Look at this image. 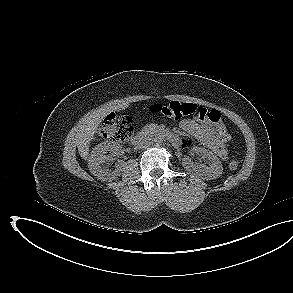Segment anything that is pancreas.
I'll use <instances>...</instances> for the list:
<instances>
[{"instance_id":"obj_1","label":"pancreas","mask_w":293,"mask_h":293,"mask_svg":"<svg viewBox=\"0 0 293 293\" xmlns=\"http://www.w3.org/2000/svg\"><path fill=\"white\" fill-rule=\"evenodd\" d=\"M149 128H155V126H153V125H150V126H148Z\"/></svg>"}]
</instances>
